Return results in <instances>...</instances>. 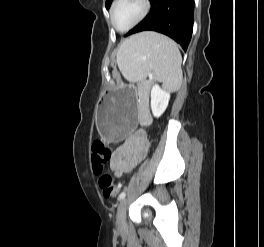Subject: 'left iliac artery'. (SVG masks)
I'll list each match as a JSON object with an SVG mask.
<instances>
[{
    "label": "left iliac artery",
    "instance_id": "44dca946",
    "mask_svg": "<svg viewBox=\"0 0 264 247\" xmlns=\"http://www.w3.org/2000/svg\"><path fill=\"white\" fill-rule=\"evenodd\" d=\"M125 196H126L125 192H121L119 195V199L122 200L125 198Z\"/></svg>",
    "mask_w": 264,
    "mask_h": 247
}]
</instances>
